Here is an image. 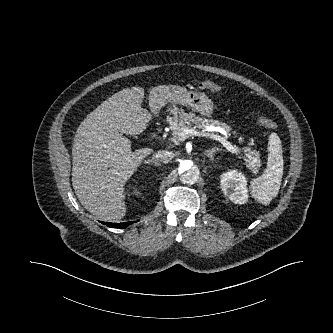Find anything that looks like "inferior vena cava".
<instances>
[{
    "label": "inferior vena cava",
    "instance_id": "obj_1",
    "mask_svg": "<svg viewBox=\"0 0 333 333\" xmlns=\"http://www.w3.org/2000/svg\"><path fill=\"white\" fill-rule=\"evenodd\" d=\"M174 157V154L169 151H158L157 153L153 154V159L158 162L168 163Z\"/></svg>",
    "mask_w": 333,
    "mask_h": 333
}]
</instances>
